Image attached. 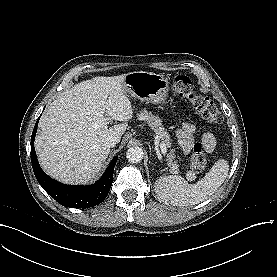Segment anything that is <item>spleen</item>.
Listing matches in <instances>:
<instances>
[{"instance_id": "1", "label": "spleen", "mask_w": 277, "mask_h": 277, "mask_svg": "<svg viewBox=\"0 0 277 277\" xmlns=\"http://www.w3.org/2000/svg\"><path fill=\"white\" fill-rule=\"evenodd\" d=\"M229 172V164L219 159L210 171L195 184H189L178 175H163L155 182V192L163 202L176 206L199 204L213 195L223 184Z\"/></svg>"}]
</instances>
